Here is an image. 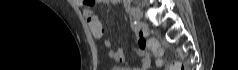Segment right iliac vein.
Listing matches in <instances>:
<instances>
[{
	"instance_id": "obj_1",
	"label": "right iliac vein",
	"mask_w": 238,
	"mask_h": 70,
	"mask_svg": "<svg viewBox=\"0 0 238 70\" xmlns=\"http://www.w3.org/2000/svg\"><path fill=\"white\" fill-rule=\"evenodd\" d=\"M129 11L131 13V15L133 16V18L137 21H141L143 14L141 12V10L139 8L136 7H130Z\"/></svg>"
}]
</instances>
